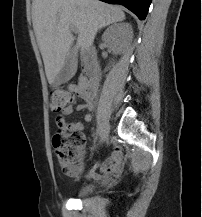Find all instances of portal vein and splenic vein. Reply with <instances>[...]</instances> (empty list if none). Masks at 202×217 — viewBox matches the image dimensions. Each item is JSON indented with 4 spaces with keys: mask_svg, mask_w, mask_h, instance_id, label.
I'll use <instances>...</instances> for the list:
<instances>
[{
    "mask_svg": "<svg viewBox=\"0 0 202 217\" xmlns=\"http://www.w3.org/2000/svg\"><path fill=\"white\" fill-rule=\"evenodd\" d=\"M71 30H72L74 33H78V30H77L75 27H71Z\"/></svg>",
    "mask_w": 202,
    "mask_h": 217,
    "instance_id": "18ae733b",
    "label": "portal vein and splenic vein"
}]
</instances>
